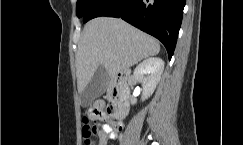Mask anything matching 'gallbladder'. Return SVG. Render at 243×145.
Instances as JSON below:
<instances>
[{
    "label": "gallbladder",
    "mask_w": 243,
    "mask_h": 145,
    "mask_svg": "<svg viewBox=\"0 0 243 145\" xmlns=\"http://www.w3.org/2000/svg\"><path fill=\"white\" fill-rule=\"evenodd\" d=\"M109 75L104 66L100 65L89 83L80 94L81 104L86 107L92 103L97 97L101 96L107 87Z\"/></svg>",
    "instance_id": "gallbladder-1"
}]
</instances>
